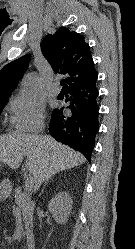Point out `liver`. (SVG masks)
<instances>
[{
    "label": "liver",
    "instance_id": "liver-1",
    "mask_svg": "<svg viewBox=\"0 0 135 249\" xmlns=\"http://www.w3.org/2000/svg\"><path fill=\"white\" fill-rule=\"evenodd\" d=\"M25 166L32 174L34 189L54 174L85 162L84 156L50 136L13 134L0 136V161L11 169Z\"/></svg>",
    "mask_w": 135,
    "mask_h": 249
}]
</instances>
